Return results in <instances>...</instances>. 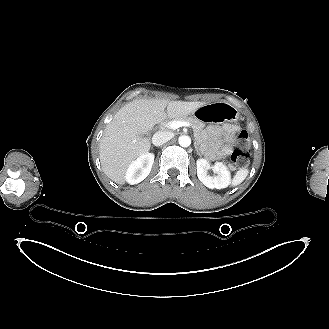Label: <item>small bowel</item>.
<instances>
[{
	"label": "small bowel",
	"instance_id": "c3829d8e",
	"mask_svg": "<svg viewBox=\"0 0 329 329\" xmlns=\"http://www.w3.org/2000/svg\"><path fill=\"white\" fill-rule=\"evenodd\" d=\"M201 118V117H200ZM209 146L213 158L228 156L236 145L238 126H210L208 128Z\"/></svg>",
	"mask_w": 329,
	"mask_h": 329
}]
</instances>
